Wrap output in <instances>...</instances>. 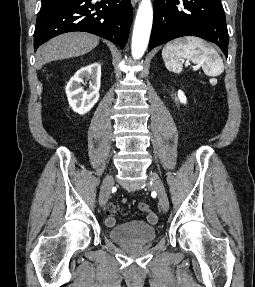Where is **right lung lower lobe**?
<instances>
[{
  "label": "right lung lower lobe",
  "mask_w": 255,
  "mask_h": 287,
  "mask_svg": "<svg viewBox=\"0 0 255 287\" xmlns=\"http://www.w3.org/2000/svg\"><path fill=\"white\" fill-rule=\"evenodd\" d=\"M53 0L38 13L34 51L47 40L70 31H85L123 48L132 21L131 0Z\"/></svg>",
  "instance_id": "obj_1"
}]
</instances>
